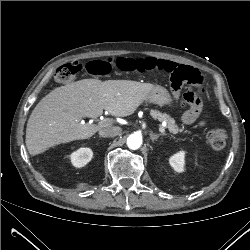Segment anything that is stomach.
Segmentation results:
<instances>
[{
  "instance_id": "obj_1",
  "label": "stomach",
  "mask_w": 250,
  "mask_h": 250,
  "mask_svg": "<svg viewBox=\"0 0 250 250\" xmlns=\"http://www.w3.org/2000/svg\"><path fill=\"white\" fill-rule=\"evenodd\" d=\"M146 101L158 105H169L172 106L173 99L167 89L161 86L154 87L148 94Z\"/></svg>"
}]
</instances>
